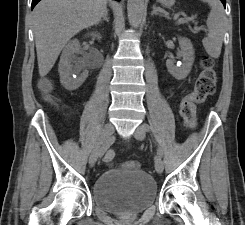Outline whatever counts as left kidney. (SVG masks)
I'll return each mask as SVG.
<instances>
[{"instance_id":"obj_1","label":"left kidney","mask_w":245,"mask_h":225,"mask_svg":"<svg viewBox=\"0 0 245 225\" xmlns=\"http://www.w3.org/2000/svg\"><path fill=\"white\" fill-rule=\"evenodd\" d=\"M180 51L177 52V58L182 59L180 65L175 64L174 58L167 59L166 66L169 73L178 80L188 76L194 62V49L191 41L184 37H179Z\"/></svg>"}]
</instances>
